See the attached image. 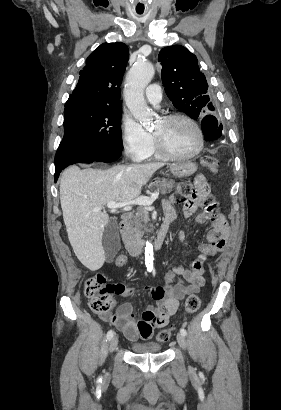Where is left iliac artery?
<instances>
[{
	"mask_svg": "<svg viewBox=\"0 0 281 410\" xmlns=\"http://www.w3.org/2000/svg\"><path fill=\"white\" fill-rule=\"evenodd\" d=\"M180 333H181L183 336H186V335H187V332H186V330H185L184 328H181V329H180Z\"/></svg>",
	"mask_w": 281,
	"mask_h": 410,
	"instance_id": "1",
	"label": "left iliac artery"
}]
</instances>
